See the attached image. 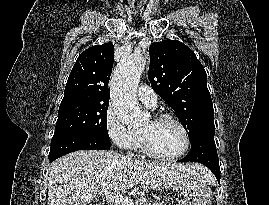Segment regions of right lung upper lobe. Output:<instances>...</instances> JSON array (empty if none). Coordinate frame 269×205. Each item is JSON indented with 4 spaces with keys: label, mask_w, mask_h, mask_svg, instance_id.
<instances>
[{
    "label": "right lung upper lobe",
    "mask_w": 269,
    "mask_h": 205,
    "mask_svg": "<svg viewBox=\"0 0 269 205\" xmlns=\"http://www.w3.org/2000/svg\"><path fill=\"white\" fill-rule=\"evenodd\" d=\"M114 46L96 45L82 52L74 64L60 106L109 103L108 83L113 67Z\"/></svg>",
    "instance_id": "right-lung-upper-lobe-1"
}]
</instances>
